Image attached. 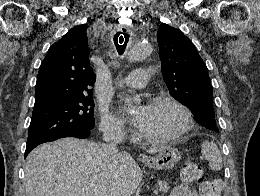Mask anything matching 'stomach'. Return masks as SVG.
Instances as JSON below:
<instances>
[{"label": "stomach", "instance_id": "0dacf381", "mask_svg": "<svg viewBox=\"0 0 260 196\" xmlns=\"http://www.w3.org/2000/svg\"><path fill=\"white\" fill-rule=\"evenodd\" d=\"M180 160V152L172 146H162V150L156 154L155 158H142L145 166L153 170H172Z\"/></svg>", "mask_w": 260, "mask_h": 196}]
</instances>
